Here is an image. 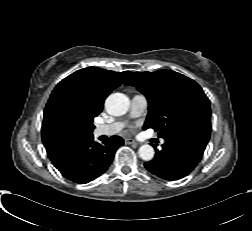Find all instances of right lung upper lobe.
Wrapping results in <instances>:
<instances>
[{
    "label": "right lung upper lobe",
    "instance_id": "right-lung-upper-lobe-1",
    "mask_svg": "<svg viewBox=\"0 0 252 231\" xmlns=\"http://www.w3.org/2000/svg\"><path fill=\"white\" fill-rule=\"evenodd\" d=\"M129 71L114 72L98 67H87L74 72L57 84L44 110L42 141L54 166L63 160L74 140L58 138L49 127V113L54 103L68 101L80 114L93 119L103 109L105 98L120 86Z\"/></svg>",
    "mask_w": 252,
    "mask_h": 231
}]
</instances>
